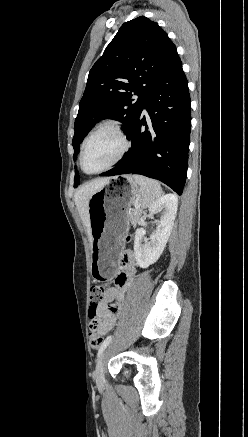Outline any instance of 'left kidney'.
Wrapping results in <instances>:
<instances>
[{
	"mask_svg": "<svg viewBox=\"0 0 248 437\" xmlns=\"http://www.w3.org/2000/svg\"><path fill=\"white\" fill-rule=\"evenodd\" d=\"M178 207V198L174 194H166L156 200L149 207V216L152 217L158 211L161 213L160 220L156 221L157 227L149 239L145 238V230L138 228L134 239V253L137 264L141 268H147L155 263L162 254L175 220Z\"/></svg>",
	"mask_w": 248,
	"mask_h": 437,
	"instance_id": "1",
	"label": "left kidney"
}]
</instances>
